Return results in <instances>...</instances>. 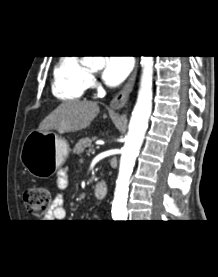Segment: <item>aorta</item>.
Segmentation results:
<instances>
[{
    "instance_id": "1",
    "label": "aorta",
    "mask_w": 218,
    "mask_h": 277,
    "mask_svg": "<svg viewBox=\"0 0 218 277\" xmlns=\"http://www.w3.org/2000/svg\"><path fill=\"white\" fill-rule=\"evenodd\" d=\"M89 60L95 66L103 65L104 63L103 56H91ZM141 66L142 76L140 88L137 102L130 119L125 145L122 149L119 174L112 203V217L114 220H125L127 218L126 202L129 191V180L136 157L143 143L152 111L153 56H142Z\"/></svg>"
}]
</instances>
